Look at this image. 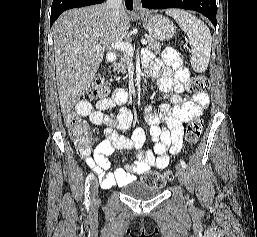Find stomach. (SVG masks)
Here are the masks:
<instances>
[{"instance_id": "1", "label": "stomach", "mask_w": 257, "mask_h": 237, "mask_svg": "<svg viewBox=\"0 0 257 237\" xmlns=\"http://www.w3.org/2000/svg\"><path fill=\"white\" fill-rule=\"evenodd\" d=\"M139 19L142 21L148 34L154 40L167 41L175 34L174 24L162 15L147 11L141 14Z\"/></svg>"}]
</instances>
